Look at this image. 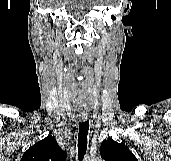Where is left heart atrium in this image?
<instances>
[{
  "mask_svg": "<svg viewBox=\"0 0 171 161\" xmlns=\"http://www.w3.org/2000/svg\"><path fill=\"white\" fill-rule=\"evenodd\" d=\"M90 161H96V160L91 159Z\"/></svg>",
  "mask_w": 171,
  "mask_h": 161,
  "instance_id": "39dd6f15",
  "label": "left heart atrium"
}]
</instances>
